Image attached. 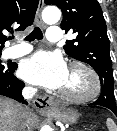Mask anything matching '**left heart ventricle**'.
Here are the masks:
<instances>
[{"label":"left heart ventricle","mask_w":117,"mask_h":131,"mask_svg":"<svg viewBox=\"0 0 117 131\" xmlns=\"http://www.w3.org/2000/svg\"><path fill=\"white\" fill-rule=\"evenodd\" d=\"M89 87L87 76L80 70H68L65 83L60 88L63 91L81 94L84 93Z\"/></svg>","instance_id":"obj_1"}]
</instances>
